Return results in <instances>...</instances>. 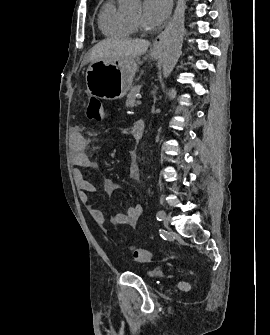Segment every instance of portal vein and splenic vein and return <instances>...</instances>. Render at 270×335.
Returning a JSON list of instances; mask_svg holds the SVG:
<instances>
[{
  "label": "portal vein and splenic vein",
  "mask_w": 270,
  "mask_h": 335,
  "mask_svg": "<svg viewBox=\"0 0 270 335\" xmlns=\"http://www.w3.org/2000/svg\"><path fill=\"white\" fill-rule=\"evenodd\" d=\"M135 103L138 105V104L142 103V100L139 99Z\"/></svg>",
  "instance_id": "obj_1"
}]
</instances>
